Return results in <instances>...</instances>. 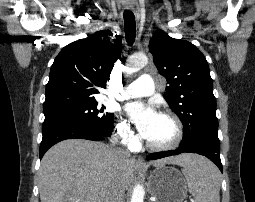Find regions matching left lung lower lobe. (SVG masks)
I'll return each mask as SVG.
<instances>
[{
    "instance_id": "0a47b994",
    "label": "left lung lower lobe",
    "mask_w": 255,
    "mask_h": 202,
    "mask_svg": "<svg viewBox=\"0 0 255 202\" xmlns=\"http://www.w3.org/2000/svg\"><path fill=\"white\" fill-rule=\"evenodd\" d=\"M185 152L197 153L206 156L222 171V164L220 160V143L215 140L201 141L191 144L181 143L178 149L150 154L149 159L156 160Z\"/></svg>"
}]
</instances>
